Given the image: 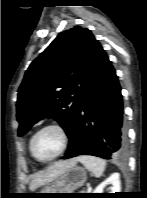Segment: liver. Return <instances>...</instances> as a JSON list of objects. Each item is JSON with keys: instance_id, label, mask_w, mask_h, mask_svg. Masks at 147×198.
Segmentation results:
<instances>
[{"instance_id": "liver-1", "label": "liver", "mask_w": 147, "mask_h": 198, "mask_svg": "<svg viewBox=\"0 0 147 198\" xmlns=\"http://www.w3.org/2000/svg\"><path fill=\"white\" fill-rule=\"evenodd\" d=\"M76 163L77 159L58 161L50 167H48L45 171H40L36 173L33 176L32 181L30 183V190L34 191L38 187L53 181L61 174H63L65 171H67L71 167H74Z\"/></svg>"}]
</instances>
